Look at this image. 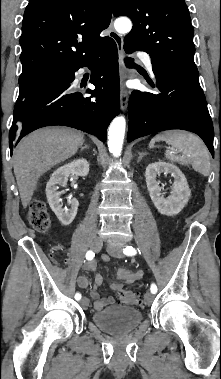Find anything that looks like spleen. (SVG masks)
I'll list each match as a JSON object with an SVG mask.
<instances>
[{"instance_id":"obj_1","label":"spleen","mask_w":221,"mask_h":379,"mask_svg":"<svg viewBox=\"0 0 221 379\" xmlns=\"http://www.w3.org/2000/svg\"><path fill=\"white\" fill-rule=\"evenodd\" d=\"M159 141H164L171 146L165 152L166 159L182 165L190 164L196 172L203 176L210 174L209 151L198 136L179 130L166 131L154 136L150 147Z\"/></svg>"}]
</instances>
